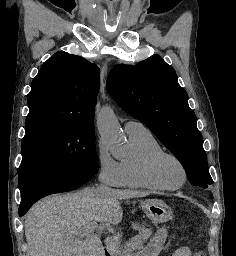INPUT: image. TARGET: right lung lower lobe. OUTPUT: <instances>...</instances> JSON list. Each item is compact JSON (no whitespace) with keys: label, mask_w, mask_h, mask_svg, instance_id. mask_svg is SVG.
Masks as SVG:
<instances>
[{"label":"right lung lower lobe","mask_w":236,"mask_h":256,"mask_svg":"<svg viewBox=\"0 0 236 256\" xmlns=\"http://www.w3.org/2000/svg\"><path fill=\"white\" fill-rule=\"evenodd\" d=\"M92 176L84 172H69L35 180L22 189L19 216H23L39 199L54 193L67 192L77 189L89 181Z\"/></svg>","instance_id":"right-lung-lower-lobe-1"}]
</instances>
